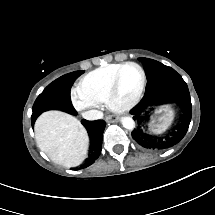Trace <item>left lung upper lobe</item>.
<instances>
[{"mask_svg":"<svg viewBox=\"0 0 215 215\" xmlns=\"http://www.w3.org/2000/svg\"><path fill=\"white\" fill-rule=\"evenodd\" d=\"M142 62L147 85L141 102L132 111L134 118L141 119L142 112L155 103H176L184 112L183 124L170 135L153 138L145 134L140 128L132 132L133 139L143 148L149 150H164L178 144L186 135L192 116V105L187 84L172 68L155 60L139 58Z\"/></svg>","mask_w":215,"mask_h":215,"instance_id":"1","label":"left lung upper lobe"}]
</instances>
